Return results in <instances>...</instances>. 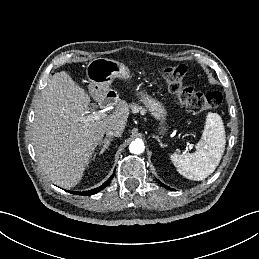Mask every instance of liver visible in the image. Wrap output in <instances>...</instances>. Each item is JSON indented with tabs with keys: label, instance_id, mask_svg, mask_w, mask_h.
Wrapping results in <instances>:
<instances>
[{
	"label": "liver",
	"instance_id": "obj_1",
	"mask_svg": "<svg viewBox=\"0 0 259 259\" xmlns=\"http://www.w3.org/2000/svg\"><path fill=\"white\" fill-rule=\"evenodd\" d=\"M86 91L61 71L42 90L35 109L33 145L43 172L56 185L72 188L83 176L107 129H125L128 105L119 101L112 114L82 121L90 106Z\"/></svg>",
	"mask_w": 259,
	"mask_h": 259
}]
</instances>
